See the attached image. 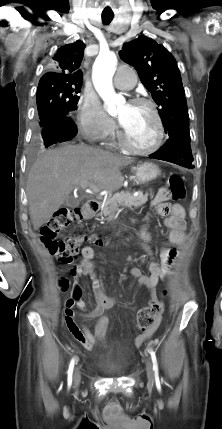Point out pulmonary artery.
<instances>
[{
	"label": "pulmonary artery",
	"instance_id": "obj_1",
	"mask_svg": "<svg viewBox=\"0 0 222 429\" xmlns=\"http://www.w3.org/2000/svg\"><path fill=\"white\" fill-rule=\"evenodd\" d=\"M114 84L119 89H132L136 84V74L134 70L129 66L119 67L114 77Z\"/></svg>",
	"mask_w": 222,
	"mask_h": 429
}]
</instances>
